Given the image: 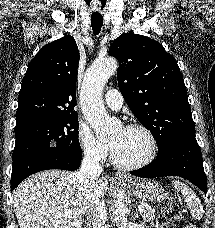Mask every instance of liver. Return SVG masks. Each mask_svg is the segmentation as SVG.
Listing matches in <instances>:
<instances>
[{
  "label": "liver",
  "mask_w": 215,
  "mask_h": 228,
  "mask_svg": "<svg viewBox=\"0 0 215 228\" xmlns=\"http://www.w3.org/2000/svg\"><path fill=\"white\" fill-rule=\"evenodd\" d=\"M74 174L44 170L19 184L12 196L20 228H82L83 216H96L95 204L100 192L79 190ZM97 184L104 200L110 180L98 178Z\"/></svg>",
  "instance_id": "1"
}]
</instances>
